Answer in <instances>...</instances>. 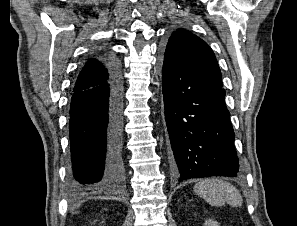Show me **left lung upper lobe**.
Wrapping results in <instances>:
<instances>
[{"instance_id":"left-lung-upper-lobe-1","label":"left lung upper lobe","mask_w":297,"mask_h":226,"mask_svg":"<svg viewBox=\"0 0 297 226\" xmlns=\"http://www.w3.org/2000/svg\"><path fill=\"white\" fill-rule=\"evenodd\" d=\"M162 72L172 74L189 88L222 87L221 72L212 49L184 29L174 31L167 43Z\"/></svg>"}]
</instances>
